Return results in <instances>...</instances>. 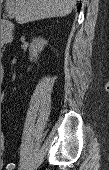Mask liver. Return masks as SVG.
<instances>
[{"label":"liver","mask_w":109,"mask_h":170,"mask_svg":"<svg viewBox=\"0 0 109 170\" xmlns=\"http://www.w3.org/2000/svg\"><path fill=\"white\" fill-rule=\"evenodd\" d=\"M15 13L18 24L62 17L71 13L76 0H6Z\"/></svg>","instance_id":"obj_1"}]
</instances>
